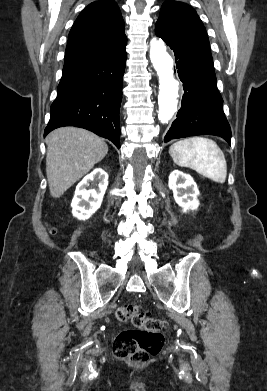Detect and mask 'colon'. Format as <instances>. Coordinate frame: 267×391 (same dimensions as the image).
<instances>
[{
    "label": "colon",
    "instance_id": "colon-1",
    "mask_svg": "<svg viewBox=\"0 0 267 391\" xmlns=\"http://www.w3.org/2000/svg\"><path fill=\"white\" fill-rule=\"evenodd\" d=\"M115 318L118 323L131 321L136 327L120 332L115 338L113 352L118 358L145 363L161 351L166 327L163 320L151 317L135 304L120 306Z\"/></svg>",
    "mask_w": 267,
    "mask_h": 391
}]
</instances>
